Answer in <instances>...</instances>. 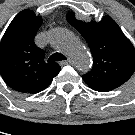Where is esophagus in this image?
<instances>
[{
    "label": "esophagus",
    "instance_id": "34e87169",
    "mask_svg": "<svg viewBox=\"0 0 135 135\" xmlns=\"http://www.w3.org/2000/svg\"><path fill=\"white\" fill-rule=\"evenodd\" d=\"M71 63H72V60L70 58H67L65 61H61L60 65L63 66V65H66V64H71Z\"/></svg>",
    "mask_w": 135,
    "mask_h": 135
}]
</instances>
